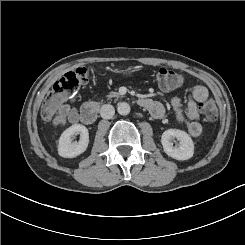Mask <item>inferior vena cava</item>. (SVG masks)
<instances>
[{
    "label": "inferior vena cava",
    "instance_id": "1",
    "mask_svg": "<svg viewBox=\"0 0 245 245\" xmlns=\"http://www.w3.org/2000/svg\"><path fill=\"white\" fill-rule=\"evenodd\" d=\"M114 107L110 104L102 105L100 108V116L103 119H111L114 115Z\"/></svg>",
    "mask_w": 245,
    "mask_h": 245
}]
</instances>
